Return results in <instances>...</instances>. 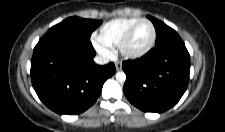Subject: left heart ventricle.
Here are the masks:
<instances>
[{"label": "left heart ventricle", "instance_id": "b2bd125f", "mask_svg": "<svg viewBox=\"0 0 225 132\" xmlns=\"http://www.w3.org/2000/svg\"><path fill=\"white\" fill-rule=\"evenodd\" d=\"M152 36V29L148 23H140L134 30L129 41V49L140 50L150 41Z\"/></svg>", "mask_w": 225, "mask_h": 132}]
</instances>
